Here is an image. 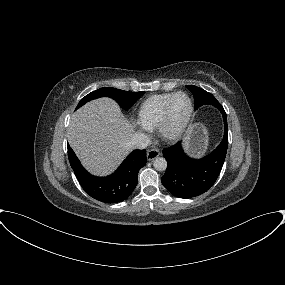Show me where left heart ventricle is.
Returning a JSON list of instances; mask_svg holds the SVG:
<instances>
[{
  "label": "left heart ventricle",
  "instance_id": "b2bd125f",
  "mask_svg": "<svg viewBox=\"0 0 285 285\" xmlns=\"http://www.w3.org/2000/svg\"><path fill=\"white\" fill-rule=\"evenodd\" d=\"M190 104L185 95L177 96L171 105L170 126L175 129L180 127L189 114Z\"/></svg>",
  "mask_w": 285,
  "mask_h": 285
}]
</instances>
